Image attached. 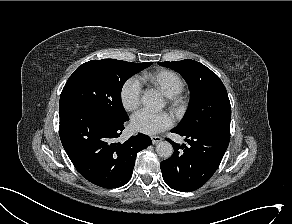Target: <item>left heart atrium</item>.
I'll use <instances>...</instances> for the list:
<instances>
[{
	"mask_svg": "<svg viewBox=\"0 0 292 224\" xmlns=\"http://www.w3.org/2000/svg\"><path fill=\"white\" fill-rule=\"evenodd\" d=\"M131 122L134 130L154 135L170 128L173 124V119L168 113H155L143 109L132 116Z\"/></svg>",
	"mask_w": 292,
	"mask_h": 224,
	"instance_id": "obj_1",
	"label": "left heart atrium"
}]
</instances>
